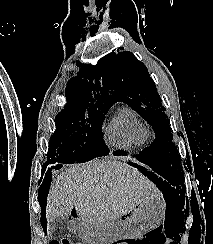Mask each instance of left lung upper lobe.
Returning a JSON list of instances; mask_svg holds the SVG:
<instances>
[{
    "label": "left lung upper lobe",
    "instance_id": "obj_1",
    "mask_svg": "<svg viewBox=\"0 0 213 244\" xmlns=\"http://www.w3.org/2000/svg\"><path fill=\"white\" fill-rule=\"evenodd\" d=\"M95 79L102 99L110 106L123 101L153 127L156 138L142 152V160L158 168L177 191L185 190L181 157L170 142L173 139L170 120L163 112L162 100L147 67L131 52L117 49L100 60Z\"/></svg>",
    "mask_w": 213,
    "mask_h": 244
}]
</instances>
